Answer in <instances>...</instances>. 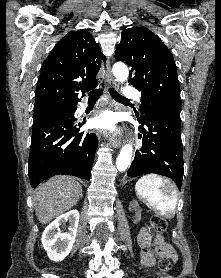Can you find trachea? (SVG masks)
Returning a JSON list of instances; mask_svg holds the SVG:
<instances>
[{
    "label": "trachea",
    "mask_w": 221,
    "mask_h": 278,
    "mask_svg": "<svg viewBox=\"0 0 221 278\" xmlns=\"http://www.w3.org/2000/svg\"><path fill=\"white\" fill-rule=\"evenodd\" d=\"M109 92H110L111 96L118 102L129 101L127 98L120 95L113 88H110ZM101 95H102V89L101 88L95 89V90L89 92V100H98Z\"/></svg>",
    "instance_id": "3493384b"
}]
</instances>
